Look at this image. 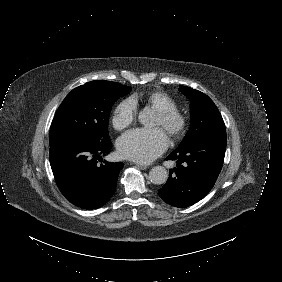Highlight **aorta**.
Here are the masks:
<instances>
[{
	"instance_id": "1",
	"label": "aorta",
	"mask_w": 282,
	"mask_h": 282,
	"mask_svg": "<svg viewBox=\"0 0 282 282\" xmlns=\"http://www.w3.org/2000/svg\"><path fill=\"white\" fill-rule=\"evenodd\" d=\"M138 120L144 126H151L153 123V114L149 108H144L139 112ZM149 179L153 184H164L168 179V172L163 166H155L149 172Z\"/></svg>"
}]
</instances>
